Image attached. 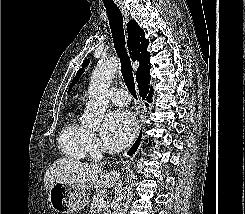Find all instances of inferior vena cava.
<instances>
[{"instance_id": "obj_1", "label": "inferior vena cava", "mask_w": 245, "mask_h": 214, "mask_svg": "<svg viewBox=\"0 0 245 214\" xmlns=\"http://www.w3.org/2000/svg\"><path fill=\"white\" fill-rule=\"evenodd\" d=\"M122 183H118L115 188V198H114V205L115 209L112 214H125V212L121 209V201L123 199V193H122Z\"/></svg>"}]
</instances>
